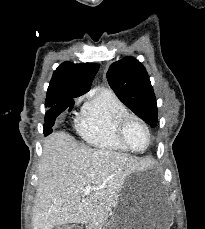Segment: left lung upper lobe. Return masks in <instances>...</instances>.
Listing matches in <instances>:
<instances>
[{"label":"left lung upper lobe","instance_id":"obj_1","mask_svg":"<svg viewBox=\"0 0 205 229\" xmlns=\"http://www.w3.org/2000/svg\"><path fill=\"white\" fill-rule=\"evenodd\" d=\"M117 97L150 126L157 124L156 98L144 66L133 57L114 62L107 72Z\"/></svg>","mask_w":205,"mask_h":229}]
</instances>
